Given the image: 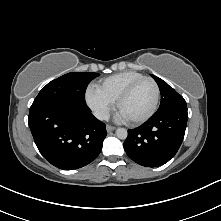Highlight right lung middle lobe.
<instances>
[{"instance_id": "1", "label": "right lung middle lobe", "mask_w": 221, "mask_h": 221, "mask_svg": "<svg viewBox=\"0 0 221 221\" xmlns=\"http://www.w3.org/2000/svg\"><path fill=\"white\" fill-rule=\"evenodd\" d=\"M97 76H99L98 73L92 72H72L65 74L49 82L39 92L30 109L45 103L57 101H73L84 104L86 88Z\"/></svg>"}]
</instances>
